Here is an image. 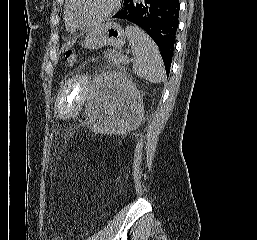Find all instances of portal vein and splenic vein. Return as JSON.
Here are the masks:
<instances>
[{
    "instance_id": "portal-vein-and-splenic-vein-1",
    "label": "portal vein and splenic vein",
    "mask_w": 257,
    "mask_h": 240,
    "mask_svg": "<svg viewBox=\"0 0 257 240\" xmlns=\"http://www.w3.org/2000/svg\"><path fill=\"white\" fill-rule=\"evenodd\" d=\"M120 60L122 61V63H124V64H127L128 63V59H127V57L126 56H121L120 57Z\"/></svg>"
}]
</instances>
